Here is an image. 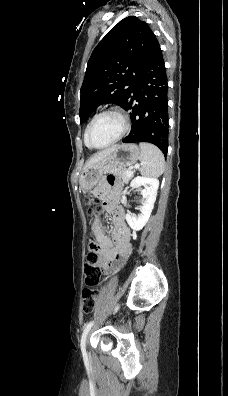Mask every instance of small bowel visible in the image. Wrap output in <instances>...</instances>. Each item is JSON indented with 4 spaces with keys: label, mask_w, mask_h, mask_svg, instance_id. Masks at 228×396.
<instances>
[{
    "label": "small bowel",
    "mask_w": 228,
    "mask_h": 396,
    "mask_svg": "<svg viewBox=\"0 0 228 396\" xmlns=\"http://www.w3.org/2000/svg\"><path fill=\"white\" fill-rule=\"evenodd\" d=\"M119 186L114 176L109 177L103 184L95 189V194L106 202V207H110L112 192H118ZM116 230L113 238L104 236L100 229L96 228L98 248L97 253L103 260L102 268L107 271L112 261H119L131 252L130 231L127 227L123 234L119 233L118 219L124 221V212L121 208L115 209Z\"/></svg>",
    "instance_id": "c3829d8e"
}]
</instances>
